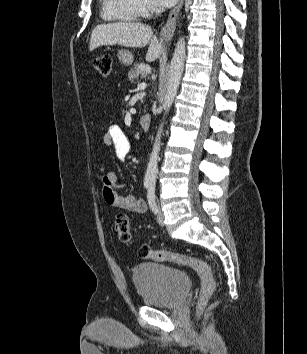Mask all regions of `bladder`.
<instances>
[{"label": "bladder", "mask_w": 307, "mask_h": 354, "mask_svg": "<svg viewBox=\"0 0 307 354\" xmlns=\"http://www.w3.org/2000/svg\"><path fill=\"white\" fill-rule=\"evenodd\" d=\"M132 279L142 300L157 307L178 306L190 288L186 272L158 262L136 265Z\"/></svg>", "instance_id": "31cf9c89"}]
</instances>
